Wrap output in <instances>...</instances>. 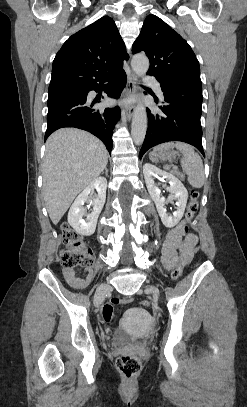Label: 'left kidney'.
<instances>
[{
	"mask_svg": "<svg viewBox=\"0 0 247 407\" xmlns=\"http://www.w3.org/2000/svg\"><path fill=\"white\" fill-rule=\"evenodd\" d=\"M143 174L148 192L152 200L155 202L162 223L168 228L174 227L181 220L186 208L188 198L186 188L173 174L165 172L150 163L144 164ZM154 178L168 180L170 187H168L167 190L171 193V195L167 199L161 196V190L154 182ZM174 200L176 201L177 210L172 216H169L167 214L165 205Z\"/></svg>",
	"mask_w": 247,
	"mask_h": 407,
	"instance_id": "1",
	"label": "left kidney"
}]
</instances>
